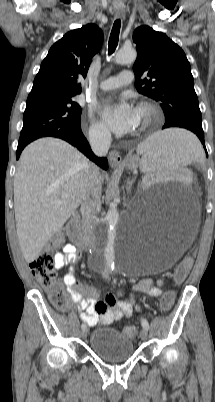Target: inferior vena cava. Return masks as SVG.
<instances>
[{
    "label": "inferior vena cava",
    "mask_w": 215,
    "mask_h": 402,
    "mask_svg": "<svg viewBox=\"0 0 215 402\" xmlns=\"http://www.w3.org/2000/svg\"><path fill=\"white\" fill-rule=\"evenodd\" d=\"M89 142L97 156H105L110 148L111 133L106 129L98 130L90 136ZM101 189L99 169L97 166L91 165L87 174L86 188L80 211L84 237L94 250L96 249V234L99 231L97 214L101 207Z\"/></svg>",
    "instance_id": "1"
}]
</instances>
